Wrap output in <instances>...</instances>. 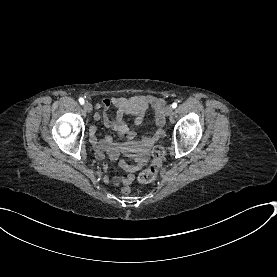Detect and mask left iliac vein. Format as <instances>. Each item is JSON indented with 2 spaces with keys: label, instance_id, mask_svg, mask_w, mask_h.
Here are the masks:
<instances>
[{
  "label": "left iliac vein",
  "instance_id": "1",
  "mask_svg": "<svg viewBox=\"0 0 277 277\" xmlns=\"http://www.w3.org/2000/svg\"><path fill=\"white\" fill-rule=\"evenodd\" d=\"M172 113H173V107H172L171 105H170V106H167V107L165 108V115H166V116H171Z\"/></svg>",
  "mask_w": 277,
  "mask_h": 277
}]
</instances>
